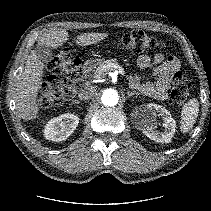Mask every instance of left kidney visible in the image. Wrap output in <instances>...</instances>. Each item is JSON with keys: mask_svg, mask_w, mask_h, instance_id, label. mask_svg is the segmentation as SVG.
Instances as JSON below:
<instances>
[{"mask_svg": "<svg viewBox=\"0 0 211 211\" xmlns=\"http://www.w3.org/2000/svg\"><path fill=\"white\" fill-rule=\"evenodd\" d=\"M147 109L151 112V116H147L148 119H145V122L148 123L144 126L146 127L144 129V134L149 137L151 140H154L156 142L161 143H169L171 142V139L176 131V121L171 117L170 112H168L165 108H162V106L157 104H148ZM158 113V114H157ZM161 116L165 127L164 132L157 131V122L156 117Z\"/></svg>", "mask_w": 211, "mask_h": 211, "instance_id": "obj_1", "label": "left kidney"}]
</instances>
